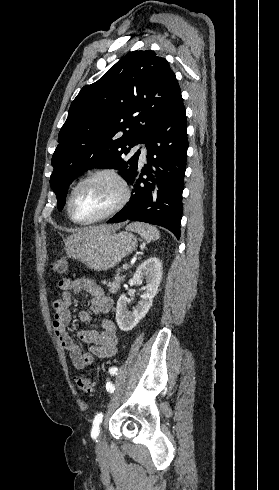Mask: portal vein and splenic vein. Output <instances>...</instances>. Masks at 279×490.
Listing matches in <instances>:
<instances>
[{
    "mask_svg": "<svg viewBox=\"0 0 279 490\" xmlns=\"http://www.w3.org/2000/svg\"><path fill=\"white\" fill-rule=\"evenodd\" d=\"M134 260H136V258H134ZM127 268H128V264H124L123 270H127Z\"/></svg>",
    "mask_w": 279,
    "mask_h": 490,
    "instance_id": "1",
    "label": "portal vein and splenic vein"
}]
</instances>
